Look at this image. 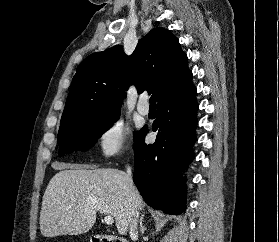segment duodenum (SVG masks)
Returning a JSON list of instances; mask_svg holds the SVG:
<instances>
[{
    "label": "duodenum",
    "instance_id": "obj_1",
    "mask_svg": "<svg viewBox=\"0 0 279 242\" xmlns=\"http://www.w3.org/2000/svg\"><path fill=\"white\" fill-rule=\"evenodd\" d=\"M92 242H126L125 240L107 235H96L93 237Z\"/></svg>",
    "mask_w": 279,
    "mask_h": 242
}]
</instances>
